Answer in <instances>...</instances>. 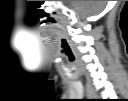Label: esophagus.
I'll list each match as a JSON object with an SVG mask.
<instances>
[{"label":"esophagus","instance_id":"esophagus-1","mask_svg":"<svg viewBox=\"0 0 128 101\" xmlns=\"http://www.w3.org/2000/svg\"><path fill=\"white\" fill-rule=\"evenodd\" d=\"M86 93H87V97H89V98H91V97H92V93H91V91H90V89H89V88H87Z\"/></svg>","mask_w":128,"mask_h":101}]
</instances>
